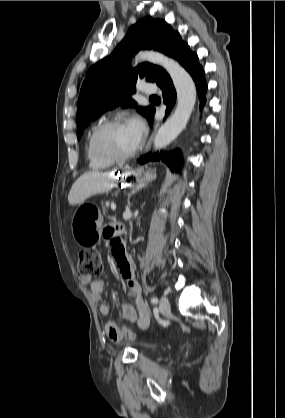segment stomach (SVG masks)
<instances>
[{"label": "stomach", "mask_w": 285, "mask_h": 418, "mask_svg": "<svg viewBox=\"0 0 285 418\" xmlns=\"http://www.w3.org/2000/svg\"><path fill=\"white\" fill-rule=\"evenodd\" d=\"M156 178L155 169H132L127 168L124 172L120 174L121 181L125 184L127 188L133 190L141 187L142 184L153 181ZM99 221L95 220L90 222L85 214V211L82 207H79L73 217L71 222L72 234L75 240L84 245V242L89 236L98 237L100 234Z\"/></svg>", "instance_id": "obj_1"}]
</instances>
